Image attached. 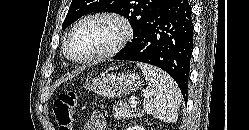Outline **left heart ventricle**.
Returning <instances> with one entry per match:
<instances>
[{
	"label": "left heart ventricle",
	"mask_w": 249,
	"mask_h": 130,
	"mask_svg": "<svg viewBox=\"0 0 249 130\" xmlns=\"http://www.w3.org/2000/svg\"><path fill=\"white\" fill-rule=\"evenodd\" d=\"M120 27L115 22L103 19L89 21L80 26L71 38L70 54L85 58L110 48L120 36Z\"/></svg>",
	"instance_id": "left-heart-ventricle-1"
}]
</instances>
